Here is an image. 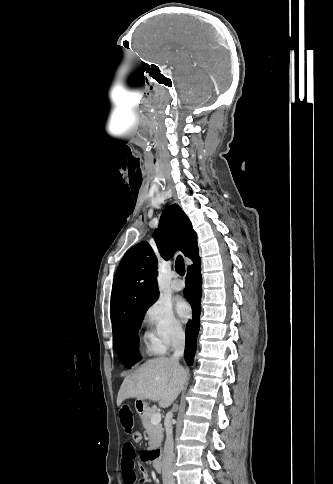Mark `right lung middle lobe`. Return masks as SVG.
I'll return each mask as SVG.
<instances>
[{"mask_svg": "<svg viewBox=\"0 0 333 484\" xmlns=\"http://www.w3.org/2000/svg\"><path fill=\"white\" fill-rule=\"evenodd\" d=\"M150 305L145 309L129 315L122 323L120 329L116 331L113 336L114 349L121 362L128 369L141 360V356L138 351V329L141 324V320Z\"/></svg>", "mask_w": 333, "mask_h": 484, "instance_id": "1", "label": "right lung middle lobe"}]
</instances>
